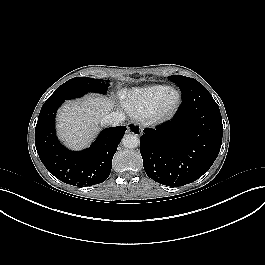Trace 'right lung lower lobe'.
Returning a JSON list of instances; mask_svg holds the SVG:
<instances>
[{
    "label": "right lung lower lobe",
    "instance_id": "right-lung-lower-lobe-1",
    "mask_svg": "<svg viewBox=\"0 0 265 265\" xmlns=\"http://www.w3.org/2000/svg\"><path fill=\"white\" fill-rule=\"evenodd\" d=\"M62 102L42 106L35 128V146L47 170L64 183L85 187L104 182L126 127L103 130L90 148L67 150L56 137L55 113Z\"/></svg>",
    "mask_w": 265,
    "mask_h": 265
}]
</instances>
